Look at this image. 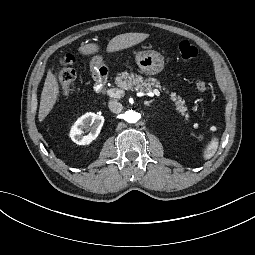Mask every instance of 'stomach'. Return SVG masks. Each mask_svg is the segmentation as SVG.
Returning a JSON list of instances; mask_svg holds the SVG:
<instances>
[{"instance_id": "1", "label": "stomach", "mask_w": 255, "mask_h": 255, "mask_svg": "<svg viewBox=\"0 0 255 255\" xmlns=\"http://www.w3.org/2000/svg\"><path fill=\"white\" fill-rule=\"evenodd\" d=\"M135 59L141 71L147 75L157 74L164 68L163 56L153 51L138 52ZM101 66H103L102 57L94 56L90 62L91 71L98 72Z\"/></svg>"}]
</instances>
